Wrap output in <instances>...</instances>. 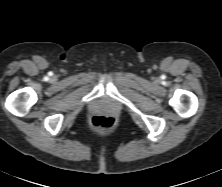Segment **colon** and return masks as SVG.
I'll return each mask as SVG.
<instances>
[{
  "mask_svg": "<svg viewBox=\"0 0 222 187\" xmlns=\"http://www.w3.org/2000/svg\"><path fill=\"white\" fill-rule=\"evenodd\" d=\"M92 126L101 131H108L114 126V119L109 116H95L93 117Z\"/></svg>",
  "mask_w": 222,
  "mask_h": 187,
  "instance_id": "obj_1",
  "label": "colon"
}]
</instances>
